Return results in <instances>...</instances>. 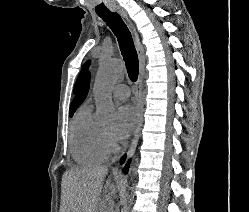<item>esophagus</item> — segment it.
Returning a JSON list of instances; mask_svg holds the SVG:
<instances>
[{
    "label": "esophagus",
    "instance_id": "esophagus-1",
    "mask_svg": "<svg viewBox=\"0 0 249 212\" xmlns=\"http://www.w3.org/2000/svg\"><path fill=\"white\" fill-rule=\"evenodd\" d=\"M114 11L118 12V14L122 15V17H124L127 20V22H129L130 25L132 26V23L130 22V20H129L126 12L123 10V8L116 7L114 9ZM132 31H133V35H134V43H135L136 51H137L138 58H139V77H138V81L136 83V96H135L136 107H137V124H136V128L134 131L133 141H132V143L129 147L128 153H127V157H131L133 155V153L136 149L137 143H138L141 129L143 127L142 86H143V79H144V74H145V62H146L145 50H144V47L140 41L139 35H138L134 26H132ZM120 170H121V167L118 166V167H115L114 169H112V172L117 173Z\"/></svg>",
    "mask_w": 249,
    "mask_h": 212
}]
</instances>
